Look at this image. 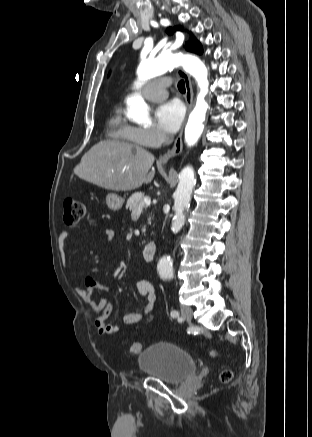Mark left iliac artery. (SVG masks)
Masks as SVG:
<instances>
[{
	"label": "left iliac artery",
	"mask_w": 312,
	"mask_h": 437,
	"mask_svg": "<svg viewBox=\"0 0 312 437\" xmlns=\"http://www.w3.org/2000/svg\"><path fill=\"white\" fill-rule=\"evenodd\" d=\"M179 316V313L176 310L171 311V317L176 318Z\"/></svg>",
	"instance_id": "left-iliac-artery-1"
}]
</instances>
